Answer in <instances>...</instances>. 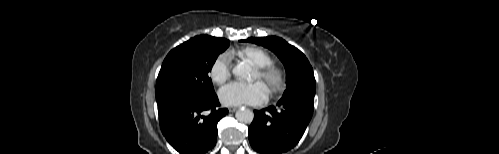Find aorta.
<instances>
[{"label": "aorta", "instance_id": "aorta-1", "mask_svg": "<svg viewBox=\"0 0 499 154\" xmlns=\"http://www.w3.org/2000/svg\"><path fill=\"white\" fill-rule=\"evenodd\" d=\"M232 72L239 79L248 80L252 76V69L246 63L236 65ZM235 117L239 122L249 124L253 121L254 113L250 109H240L236 112Z\"/></svg>", "mask_w": 499, "mask_h": 154}]
</instances>
